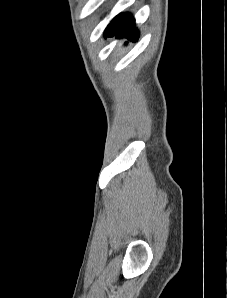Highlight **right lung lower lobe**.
<instances>
[{
	"instance_id": "right-lung-lower-lobe-1",
	"label": "right lung lower lobe",
	"mask_w": 227,
	"mask_h": 298,
	"mask_svg": "<svg viewBox=\"0 0 227 298\" xmlns=\"http://www.w3.org/2000/svg\"><path fill=\"white\" fill-rule=\"evenodd\" d=\"M126 37L129 40H138V31L135 28V20L129 13L116 16L108 25L105 37Z\"/></svg>"
}]
</instances>
